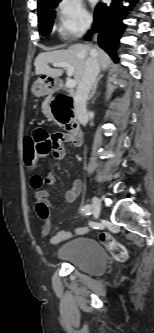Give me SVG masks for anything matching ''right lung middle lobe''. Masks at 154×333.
<instances>
[{
  "label": "right lung middle lobe",
  "instance_id": "obj_1",
  "mask_svg": "<svg viewBox=\"0 0 154 333\" xmlns=\"http://www.w3.org/2000/svg\"><path fill=\"white\" fill-rule=\"evenodd\" d=\"M61 0H41L38 1L39 31L43 36L48 35L52 29L54 8Z\"/></svg>",
  "mask_w": 154,
  "mask_h": 333
}]
</instances>
